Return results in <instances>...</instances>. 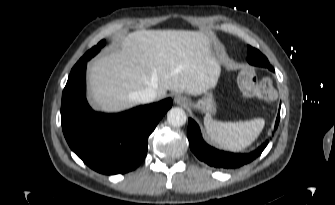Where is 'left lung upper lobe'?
I'll use <instances>...</instances> for the list:
<instances>
[{"label": "left lung upper lobe", "mask_w": 335, "mask_h": 205, "mask_svg": "<svg viewBox=\"0 0 335 205\" xmlns=\"http://www.w3.org/2000/svg\"><path fill=\"white\" fill-rule=\"evenodd\" d=\"M247 61L252 65L265 67L271 71L274 70L267 58L259 50L251 46L247 47Z\"/></svg>", "instance_id": "5c2ea615"}]
</instances>
